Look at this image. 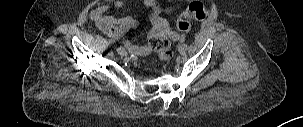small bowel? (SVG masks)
<instances>
[{
	"mask_svg": "<svg viewBox=\"0 0 303 127\" xmlns=\"http://www.w3.org/2000/svg\"><path fill=\"white\" fill-rule=\"evenodd\" d=\"M146 8L149 9V21L151 23V30L149 38L161 34H173L170 23L163 17L164 10L159 6L156 0H143ZM124 3L121 0H111L110 3L103 4L94 9L90 18L108 37L120 41L130 53L135 55H146L149 48L146 45H137L128 39V34L133 29L139 26V22L132 17L114 18L107 15V12L113 8L121 10ZM179 39V38H178Z\"/></svg>",
	"mask_w": 303,
	"mask_h": 127,
	"instance_id": "c3829d8e",
	"label": "small bowel"
}]
</instances>
